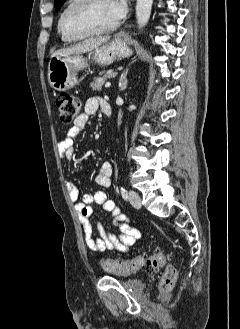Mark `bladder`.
Listing matches in <instances>:
<instances>
[{
	"label": "bladder",
	"instance_id": "1",
	"mask_svg": "<svg viewBox=\"0 0 240 329\" xmlns=\"http://www.w3.org/2000/svg\"><path fill=\"white\" fill-rule=\"evenodd\" d=\"M121 282L129 288H132L137 291H142L144 288L143 283L135 278H121Z\"/></svg>",
	"mask_w": 240,
	"mask_h": 329
}]
</instances>
